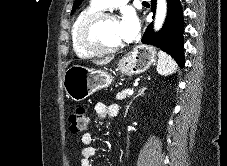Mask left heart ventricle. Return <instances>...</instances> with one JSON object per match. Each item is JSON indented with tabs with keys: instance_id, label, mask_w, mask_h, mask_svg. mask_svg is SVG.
I'll list each match as a JSON object with an SVG mask.
<instances>
[{
	"instance_id": "obj_1",
	"label": "left heart ventricle",
	"mask_w": 227,
	"mask_h": 166,
	"mask_svg": "<svg viewBox=\"0 0 227 166\" xmlns=\"http://www.w3.org/2000/svg\"><path fill=\"white\" fill-rule=\"evenodd\" d=\"M93 38L104 47H114L124 42L119 20H104L92 29Z\"/></svg>"
}]
</instances>
